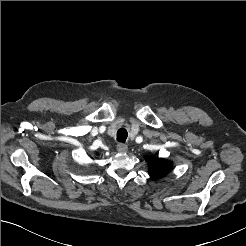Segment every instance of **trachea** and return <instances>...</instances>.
<instances>
[{"label":"trachea","instance_id":"obj_1","mask_svg":"<svg viewBox=\"0 0 246 246\" xmlns=\"http://www.w3.org/2000/svg\"><path fill=\"white\" fill-rule=\"evenodd\" d=\"M128 137V132L124 128H120L117 131V141L124 143Z\"/></svg>","mask_w":246,"mask_h":246}]
</instances>
